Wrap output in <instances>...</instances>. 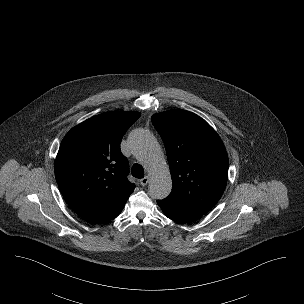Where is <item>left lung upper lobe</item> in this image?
I'll return each mask as SVG.
<instances>
[{"instance_id":"1","label":"left lung upper lobe","mask_w":304,"mask_h":304,"mask_svg":"<svg viewBox=\"0 0 304 304\" xmlns=\"http://www.w3.org/2000/svg\"><path fill=\"white\" fill-rule=\"evenodd\" d=\"M162 137L173 187L166 198L205 214L221 198L228 178V156L214 129L201 117L182 109L154 114Z\"/></svg>"}]
</instances>
